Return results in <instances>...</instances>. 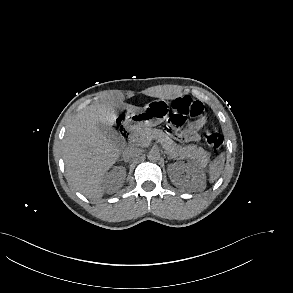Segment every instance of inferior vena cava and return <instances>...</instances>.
I'll list each match as a JSON object with an SVG mask.
<instances>
[{"label": "inferior vena cava", "mask_w": 293, "mask_h": 293, "mask_svg": "<svg viewBox=\"0 0 293 293\" xmlns=\"http://www.w3.org/2000/svg\"><path fill=\"white\" fill-rule=\"evenodd\" d=\"M140 154H141V149L137 148V147H133V148L125 150L123 152L122 156H123L124 159L129 160L131 158L138 157Z\"/></svg>", "instance_id": "602c4592"}]
</instances>
